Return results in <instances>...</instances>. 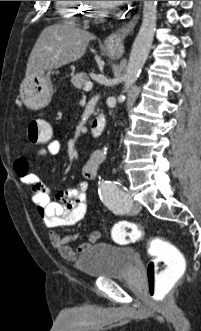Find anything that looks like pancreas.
<instances>
[{"instance_id": "pancreas-1", "label": "pancreas", "mask_w": 201, "mask_h": 331, "mask_svg": "<svg viewBox=\"0 0 201 331\" xmlns=\"http://www.w3.org/2000/svg\"><path fill=\"white\" fill-rule=\"evenodd\" d=\"M89 78L86 73H78L71 78L72 84L79 90L83 88Z\"/></svg>"}]
</instances>
